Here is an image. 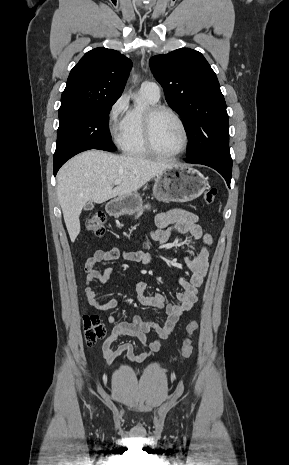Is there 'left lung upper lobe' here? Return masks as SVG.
Returning <instances> with one entry per match:
<instances>
[{"label": "left lung upper lobe", "instance_id": "1", "mask_svg": "<svg viewBox=\"0 0 289 465\" xmlns=\"http://www.w3.org/2000/svg\"><path fill=\"white\" fill-rule=\"evenodd\" d=\"M149 64L166 101L184 122L189 140L187 158L232 161L226 103L217 76L204 56L181 48L154 56Z\"/></svg>", "mask_w": 289, "mask_h": 465}]
</instances>
